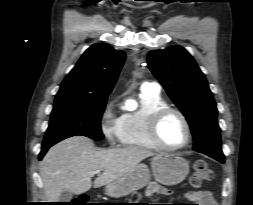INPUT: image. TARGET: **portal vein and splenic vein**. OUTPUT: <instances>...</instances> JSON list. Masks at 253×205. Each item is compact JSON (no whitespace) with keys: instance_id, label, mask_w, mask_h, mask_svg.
<instances>
[{"instance_id":"1","label":"portal vein and splenic vein","mask_w":253,"mask_h":205,"mask_svg":"<svg viewBox=\"0 0 253 205\" xmlns=\"http://www.w3.org/2000/svg\"><path fill=\"white\" fill-rule=\"evenodd\" d=\"M101 170H96V171H93L92 174H95V173H100Z\"/></svg>"}]
</instances>
